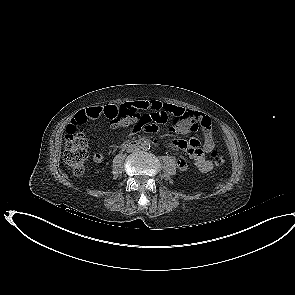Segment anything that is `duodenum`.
I'll return each mask as SVG.
<instances>
[{"mask_svg":"<svg viewBox=\"0 0 295 295\" xmlns=\"http://www.w3.org/2000/svg\"><path fill=\"white\" fill-rule=\"evenodd\" d=\"M143 142H144V139H142V138H140V139H133V140H130V141L126 142L124 145L126 147H138Z\"/></svg>","mask_w":295,"mask_h":295,"instance_id":"1","label":"duodenum"}]
</instances>
